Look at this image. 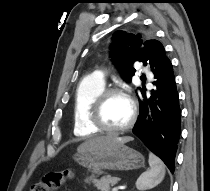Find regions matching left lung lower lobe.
I'll list each match as a JSON object with an SVG mask.
<instances>
[{
	"label": "left lung lower lobe",
	"instance_id": "1",
	"mask_svg": "<svg viewBox=\"0 0 210 191\" xmlns=\"http://www.w3.org/2000/svg\"><path fill=\"white\" fill-rule=\"evenodd\" d=\"M151 70L154 88L148 91L143 87L138 93L140 114L133 133L174 173L181 110L173 66L168 57L163 56Z\"/></svg>",
	"mask_w": 210,
	"mask_h": 191
}]
</instances>
